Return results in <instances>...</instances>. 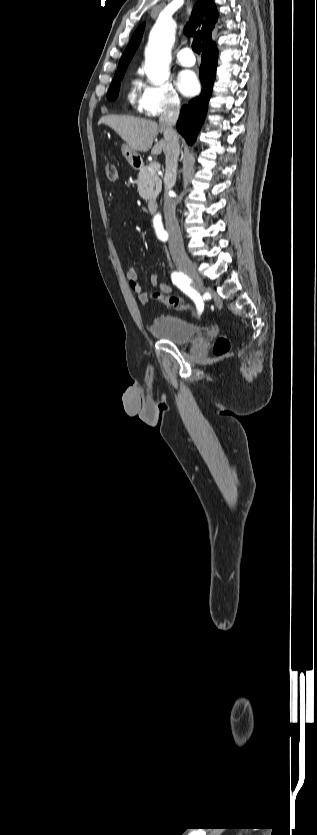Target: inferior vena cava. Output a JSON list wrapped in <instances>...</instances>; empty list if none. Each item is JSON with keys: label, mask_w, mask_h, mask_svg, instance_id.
<instances>
[{"label": "inferior vena cava", "mask_w": 317, "mask_h": 835, "mask_svg": "<svg viewBox=\"0 0 317 835\" xmlns=\"http://www.w3.org/2000/svg\"><path fill=\"white\" fill-rule=\"evenodd\" d=\"M180 103L172 102L168 104L164 112L159 118V124L164 132V139L166 142L165 148V188H164V218L166 229L169 233V250L173 259L182 258L185 256L183 239L180 227L175 215L176 204L169 196V191L176 182L178 158L180 154V146L177 133L173 129L176 124L179 113Z\"/></svg>", "instance_id": "obj_1"}]
</instances>
